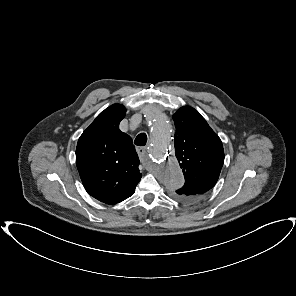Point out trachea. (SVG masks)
<instances>
[{
  "label": "trachea",
  "mask_w": 296,
  "mask_h": 296,
  "mask_svg": "<svg viewBox=\"0 0 296 296\" xmlns=\"http://www.w3.org/2000/svg\"><path fill=\"white\" fill-rule=\"evenodd\" d=\"M147 142V135L145 133H140L134 140V144L137 146H145Z\"/></svg>",
  "instance_id": "obj_1"
}]
</instances>
